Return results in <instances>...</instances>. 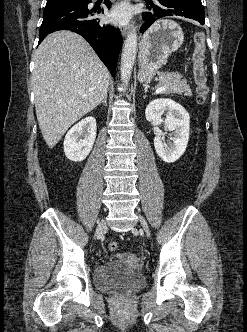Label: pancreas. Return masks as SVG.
<instances>
[{
  "label": "pancreas",
  "instance_id": "pancreas-1",
  "mask_svg": "<svg viewBox=\"0 0 247 332\" xmlns=\"http://www.w3.org/2000/svg\"><path fill=\"white\" fill-rule=\"evenodd\" d=\"M166 86L164 90V94H178V95H186L190 96L191 89L187 84L186 79H182V75L180 73H165L161 74L159 77V83L157 87Z\"/></svg>",
  "mask_w": 247,
  "mask_h": 332
}]
</instances>
